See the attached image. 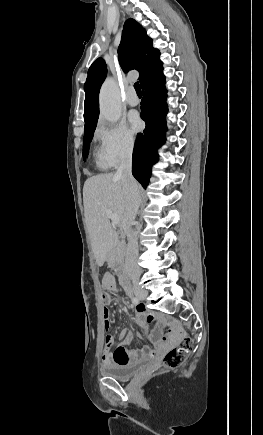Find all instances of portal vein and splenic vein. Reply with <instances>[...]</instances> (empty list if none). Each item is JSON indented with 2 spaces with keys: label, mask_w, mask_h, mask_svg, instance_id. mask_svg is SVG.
<instances>
[{
  "label": "portal vein and splenic vein",
  "mask_w": 263,
  "mask_h": 435,
  "mask_svg": "<svg viewBox=\"0 0 263 435\" xmlns=\"http://www.w3.org/2000/svg\"><path fill=\"white\" fill-rule=\"evenodd\" d=\"M106 216L112 221L113 224H119L120 219L118 215L113 214L111 211H106Z\"/></svg>",
  "instance_id": "portal-vein-and-splenic-vein-1"
}]
</instances>
